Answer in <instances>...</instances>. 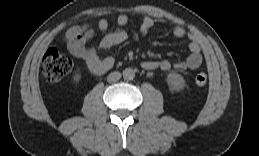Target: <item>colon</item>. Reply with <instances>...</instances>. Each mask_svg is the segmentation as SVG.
<instances>
[{
    "mask_svg": "<svg viewBox=\"0 0 259 156\" xmlns=\"http://www.w3.org/2000/svg\"><path fill=\"white\" fill-rule=\"evenodd\" d=\"M72 66L71 59L56 48H49L43 56V75L51 84L60 82L72 70ZM207 79L205 72H199L194 78V83L196 86H204Z\"/></svg>",
    "mask_w": 259,
    "mask_h": 156,
    "instance_id": "1",
    "label": "colon"
}]
</instances>
